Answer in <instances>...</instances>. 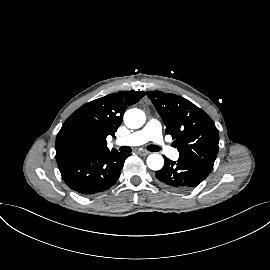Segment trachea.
I'll use <instances>...</instances> for the list:
<instances>
[{
	"label": "trachea",
	"mask_w": 270,
	"mask_h": 270,
	"mask_svg": "<svg viewBox=\"0 0 270 270\" xmlns=\"http://www.w3.org/2000/svg\"><path fill=\"white\" fill-rule=\"evenodd\" d=\"M147 149H148L149 151H154V152H158V151L160 150V148H159L158 146H156V145H149V146L147 147ZM120 150H121L122 152H130V151H131V148L128 147V146H123V147L120 148Z\"/></svg>",
	"instance_id": "3493384b"
}]
</instances>
